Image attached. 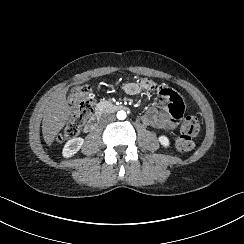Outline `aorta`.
<instances>
[{"label": "aorta", "mask_w": 244, "mask_h": 244, "mask_svg": "<svg viewBox=\"0 0 244 244\" xmlns=\"http://www.w3.org/2000/svg\"><path fill=\"white\" fill-rule=\"evenodd\" d=\"M126 112L125 111H118L117 112V118L119 119V120H124V119H126Z\"/></svg>", "instance_id": "aorta-1"}]
</instances>
